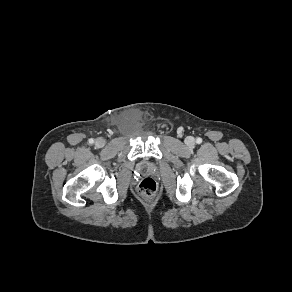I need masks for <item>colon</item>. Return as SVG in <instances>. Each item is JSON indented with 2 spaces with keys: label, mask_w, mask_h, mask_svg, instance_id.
Returning a JSON list of instances; mask_svg holds the SVG:
<instances>
[{
  "label": "colon",
  "mask_w": 292,
  "mask_h": 292,
  "mask_svg": "<svg viewBox=\"0 0 292 292\" xmlns=\"http://www.w3.org/2000/svg\"><path fill=\"white\" fill-rule=\"evenodd\" d=\"M158 185L156 181L150 177L143 179L139 184V191L147 198L154 197L157 193Z\"/></svg>",
  "instance_id": "5ec220e1"
}]
</instances>
